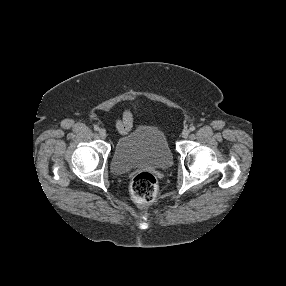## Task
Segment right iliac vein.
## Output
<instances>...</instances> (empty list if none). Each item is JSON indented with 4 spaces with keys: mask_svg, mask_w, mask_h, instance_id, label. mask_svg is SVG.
<instances>
[{
    "mask_svg": "<svg viewBox=\"0 0 286 286\" xmlns=\"http://www.w3.org/2000/svg\"><path fill=\"white\" fill-rule=\"evenodd\" d=\"M99 135L102 139H105L107 137V133L104 129L99 130Z\"/></svg>",
    "mask_w": 286,
    "mask_h": 286,
    "instance_id": "1",
    "label": "right iliac vein"
}]
</instances>
